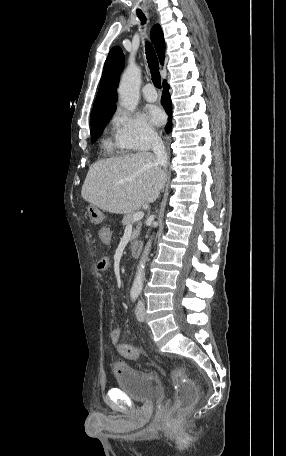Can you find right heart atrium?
<instances>
[{
  "label": "right heart atrium",
  "instance_id": "right-heart-atrium-1",
  "mask_svg": "<svg viewBox=\"0 0 286 456\" xmlns=\"http://www.w3.org/2000/svg\"><path fill=\"white\" fill-rule=\"evenodd\" d=\"M113 120L119 138L130 149L146 150L158 139L156 130L140 114L118 110Z\"/></svg>",
  "mask_w": 286,
  "mask_h": 456
}]
</instances>
